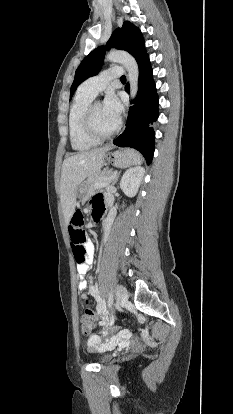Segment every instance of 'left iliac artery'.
Returning <instances> with one entry per match:
<instances>
[{
    "label": "left iliac artery",
    "instance_id": "1",
    "mask_svg": "<svg viewBox=\"0 0 233 414\" xmlns=\"http://www.w3.org/2000/svg\"><path fill=\"white\" fill-rule=\"evenodd\" d=\"M112 304H113V294L112 293H109V296H108V306L111 307ZM97 311H98V313L101 311V307L100 306H97Z\"/></svg>",
    "mask_w": 233,
    "mask_h": 414
}]
</instances>
